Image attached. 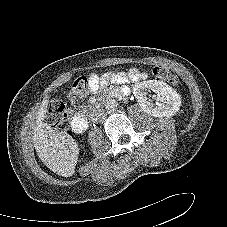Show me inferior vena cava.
Returning a JSON list of instances; mask_svg holds the SVG:
<instances>
[{
    "label": "inferior vena cava",
    "instance_id": "602c4592",
    "mask_svg": "<svg viewBox=\"0 0 227 227\" xmlns=\"http://www.w3.org/2000/svg\"><path fill=\"white\" fill-rule=\"evenodd\" d=\"M105 117V110L101 108L94 109L90 114V119L93 122H99Z\"/></svg>",
    "mask_w": 227,
    "mask_h": 227
}]
</instances>
